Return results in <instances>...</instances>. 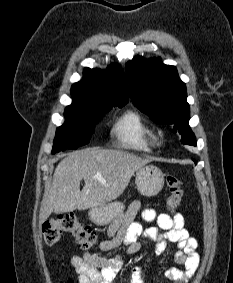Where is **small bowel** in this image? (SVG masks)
Instances as JSON below:
<instances>
[{"label":"small bowel","instance_id":"obj_1","mask_svg":"<svg viewBox=\"0 0 233 283\" xmlns=\"http://www.w3.org/2000/svg\"><path fill=\"white\" fill-rule=\"evenodd\" d=\"M140 202L133 201L124 212L108 229V239L99 243L101 251H111L121 245H125V254L130 255L138 252L144 241L151 240L155 243V254L162 255L168 242L177 245L174 256L176 263L184 266V270L176 268L167 269L164 276L167 280L176 283H187L199 266V255L196 252L198 243L184 228V217L181 213H157L153 209L142 211V217L147 222L155 221L157 227L144 229L135 221L140 211ZM71 265L78 275L79 283H113L122 265V256L117 255L106 258L89 251L82 255H74ZM129 283H143L142 268L135 266L132 269Z\"/></svg>","mask_w":233,"mask_h":283}]
</instances>
